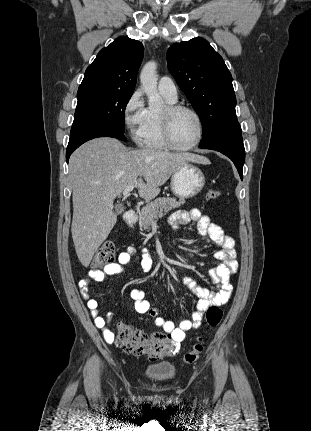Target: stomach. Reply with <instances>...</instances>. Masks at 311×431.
Wrapping results in <instances>:
<instances>
[{
    "label": "stomach",
    "instance_id": "stomach-1",
    "mask_svg": "<svg viewBox=\"0 0 311 431\" xmlns=\"http://www.w3.org/2000/svg\"><path fill=\"white\" fill-rule=\"evenodd\" d=\"M206 184L205 176L197 166L184 164L171 176L170 188L176 198H193L200 194Z\"/></svg>",
    "mask_w": 311,
    "mask_h": 431
}]
</instances>
